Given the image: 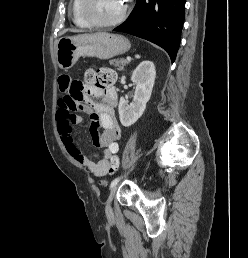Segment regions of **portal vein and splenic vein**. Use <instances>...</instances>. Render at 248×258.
I'll use <instances>...</instances> for the list:
<instances>
[{"mask_svg":"<svg viewBox=\"0 0 248 258\" xmlns=\"http://www.w3.org/2000/svg\"><path fill=\"white\" fill-rule=\"evenodd\" d=\"M126 59H127L128 61H131L132 58H131L130 56H128Z\"/></svg>","mask_w":248,"mask_h":258,"instance_id":"1","label":"portal vein and splenic vein"}]
</instances>
